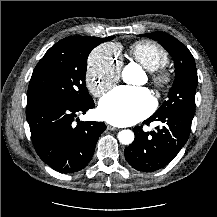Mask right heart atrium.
<instances>
[{
  "mask_svg": "<svg viewBox=\"0 0 217 217\" xmlns=\"http://www.w3.org/2000/svg\"><path fill=\"white\" fill-rule=\"evenodd\" d=\"M121 61L118 48L104 44L96 47L90 54L86 69V85L96 97L106 93L120 77Z\"/></svg>",
  "mask_w": 217,
  "mask_h": 217,
  "instance_id": "1",
  "label": "right heart atrium"
}]
</instances>
